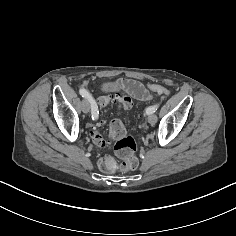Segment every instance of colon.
<instances>
[{
	"label": "colon",
	"mask_w": 236,
	"mask_h": 236,
	"mask_svg": "<svg viewBox=\"0 0 236 236\" xmlns=\"http://www.w3.org/2000/svg\"><path fill=\"white\" fill-rule=\"evenodd\" d=\"M133 90H137L138 86L133 84L131 86ZM147 89L158 95H170V90L157 84L147 85ZM100 107L105 108L109 106H117L118 108L126 111L132 107V100L129 96L121 93H109L101 96L98 99ZM100 122H98L92 132V139L96 146L104 147L107 145L106 139L99 131ZM109 138L113 144V149L116 155L122 160V163L118 165L112 157H103L99 166L104 172H113L117 169L128 172L133 171L138 166V159L135 156L136 143L132 136L127 133V130L118 119H114L109 124Z\"/></svg>",
	"instance_id": "colon-1"
}]
</instances>
